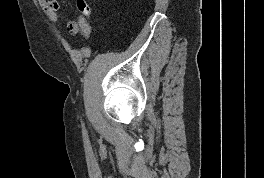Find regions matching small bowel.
I'll use <instances>...</instances> for the list:
<instances>
[{
    "mask_svg": "<svg viewBox=\"0 0 264 178\" xmlns=\"http://www.w3.org/2000/svg\"><path fill=\"white\" fill-rule=\"evenodd\" d=\"M39 5L48 17V19L53 23H58L60 20L59 10L60 4L57 0H38ZM85 20L82 16H79L77 20L67 21V31L69 34H77L81 28L84 26Z\"/></svg>",
    "mask_w": 264,
    "mask_h": 178,
    "instance_id": "c3829d8e",
    "label": "small bowel"
}]
</instances>
